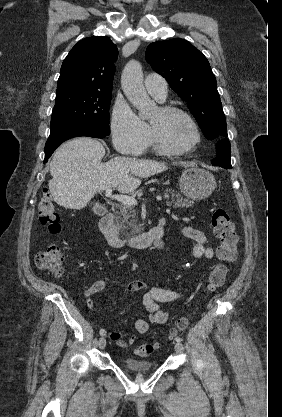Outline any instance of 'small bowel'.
Listing matches in <instances>:
<instances>
[{
  "instance_id": "c3829d8e",
  "label": "small bowel",
  "mask_w": 282,
  "mask_h": 417,
  "mask_svg": "<svg viewBox=\"0 0 282 417\" xmlns=\"http://www.w3.org/2000/svg\"><path fill=\"white\" fill-rule=\"evenodd\" d=\"M166 224L165 218L159 220L158 225L164 228ZM181 235L187 239L195 242L193 247V256L197 259H210L214 256V250L208 244V237L206 233L198 228L192 226H182L179 229ZM163 243V241H162ZM221 253L219 252V255ZM115 283V282H112ZM110 282L104 279L96 280L91 286L84 291V296L87 299L86 305L89 309L94 306V296L104 291ZM123 291L128 292H143V305L149 313L147 320L138 319L135 322V328L138 334H145L148 332L150 325L166 324L169 315L166 311L160 309L159 305L162 303H173L184 298V293L177 289H171L160 286H150L141 280H134L122 286ZM125 331H112L109 333L110 339L118 346L126 348L134 344L137 340V335L133 334L126 339Z\"/></svg>"
}]
</instances>
